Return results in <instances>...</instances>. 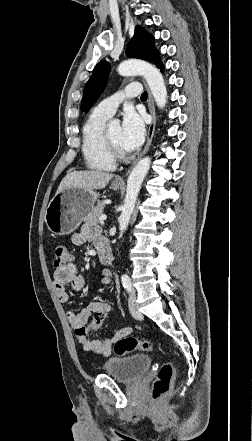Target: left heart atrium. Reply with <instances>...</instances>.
<instances>
[{"mask_svg": "<svg viewBox=\"0 0 252 441\" xmlns=\"http://www.w3.org/2000/svg\"><path fill=\"white\" fill-rule=\"evenodd\" d=\"M145 138L144 117L132 107L125 110L121 125L119 145L125 152L139 148Z\"/></svg>", "mask_w": 252, "mask_h": 441, "instance_id": "1", "label": "left heart atrium"}]
</instances>
